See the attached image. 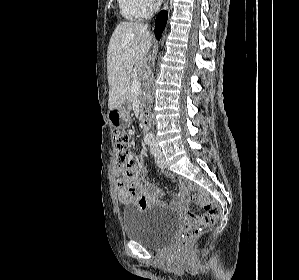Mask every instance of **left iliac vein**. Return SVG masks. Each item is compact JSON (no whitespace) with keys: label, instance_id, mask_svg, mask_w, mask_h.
<instances>
[{"label":"left iliac vein","instance_id":"1","mask_svg":"<svg viewBox=\"0 0 299 280\" xmlns=\"http://www.w3.org/2000/svg\"><path fill=\"white\" fill-rule=\"evenodd\" d=\"M157 165H158V167H160L161 169L166 168L165 159H164V157H163L162 154H161L160 157L157 159Z\"/></svg>","mask_w":299,"mask_h":280}]
</instances>
